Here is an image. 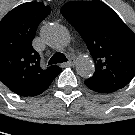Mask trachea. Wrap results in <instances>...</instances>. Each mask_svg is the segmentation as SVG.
Masks as SVG:
<instances>
[{"label":"trachea","instance_id":"trachea-1","mask_svg":"<svg viewBox=\"0 0 135 135\" xmlns=\"http://www.w3.org/2000/svg\"><path fill=\"white\" fill-rule=\"evenodd\" d=\"M67 61L68 60L63 53L57 52L51 57L48 64L51 65V64L63 63Z\"/></svg>","mask_w":135,"mask_h":135}]
</instances>
